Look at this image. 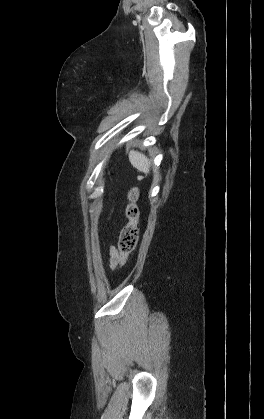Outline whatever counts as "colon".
<instances>
[{
  "label": "colon",
  "mask_w": 264,
  "mask_h": 419,
  "mask_svg": "<svg viewBox=\"0 0 264 419\" xmlns=\"http://www.w3.org/2000/svg\"><path fill=\"white\" fill-rule=\"evenodd\" d=\"M137 197V189H131L129 191L130 202L126 209L128 223L122 228L118 241V249L121 256V266L126 264L130 254L135 250L138 242V222L140 212L136 205Z\"/></svg>",
  "instance_id": "5ec220e1"
}]
</instances>
